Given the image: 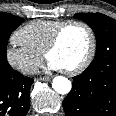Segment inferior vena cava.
Listing matches in <instances>:
<instances>
[{
	"mask_svg": "<svg viewBox=\"0 0 116 116\" xmlns=\"http://www.w3.org/2000/svg\"><path fill=\"white\" fill-rule=\"evenodd\" d=\"M27 71L31 74H36L38 72V67L35 65L30 66Z\"/></svg>",
	"mask_w": 116,
	"mask_h": 116,
	"instance_id": "inferior-vena-cava-1",
	"label": "inferior vena cava"
}]
</instances>
